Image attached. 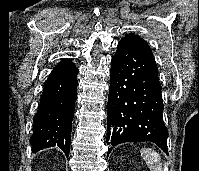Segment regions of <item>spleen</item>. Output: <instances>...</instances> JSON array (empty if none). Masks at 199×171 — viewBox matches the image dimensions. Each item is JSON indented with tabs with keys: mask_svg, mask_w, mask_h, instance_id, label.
I'll list each match as a JSON object with an SVG mask.
<instances>
[{
	"mask_svg": "<svg viewBox=\"0 0 199 171\" xmlns=\"http://www.w3.org/2000/svg\"><path fill=\"white\" fill-rule=\"evenodd\" d=\"M140 153L150 171H162L161 158L156 151L151 148H144Z\"/></svg>",
	"mask_w": 199,
	"mask_h": 171,
	"instance_id": "1",
	"label": "spleen"
}]
</instances>
